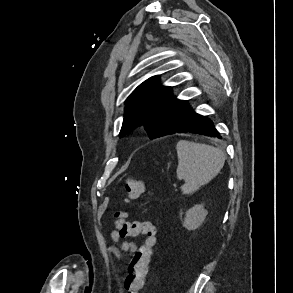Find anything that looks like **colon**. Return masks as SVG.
I'll return each mask as SVG.
<instances>
[{
    "mask_svg": "<svg viewBox=\"0 0 293 293\" xmlns=\"http://www.w3.org/2000/svg\"><path fill=\"white\" fill-rule=\"evenodd\" d=\"M127 201H134L141 197L144 184L141 180L130 178L125 181ZM127 212L117 213V230L122 237L144 236L145 240L133 253L127 265L124 276V287L127 293H139L147 273L153 250L157 243L155 226L149 221H127Z\"/></svg>",
    "mask_w": 293,
    "mask_h": 293,
    "instance_id": "1",
    "label": "colon"
}]
</instances>
